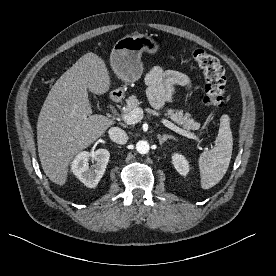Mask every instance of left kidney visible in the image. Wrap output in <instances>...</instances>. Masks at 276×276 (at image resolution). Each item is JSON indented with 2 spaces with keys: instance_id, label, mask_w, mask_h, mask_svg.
Wrapping results in <instances>:
<instances>
[{
  "instance_id": "5707ae66",
  "label": "left kidney",
  "mask_w": 276,
  "mask_h": 276,
  "mask_svg": "<svg viewBox=\"0 0 276 276\" xmlns=\"http://www.w3.org/2000/svg\"><path fill=\"white\" fill-rule=\"evenodd\" d=\"M172 162L175 169L179 172V174L186 176L189 172V163L184 155L181 153H174L172 155Z\"/></svg>"
}]
</instances>
